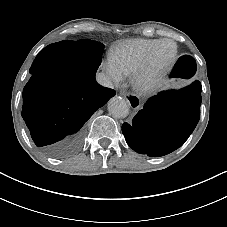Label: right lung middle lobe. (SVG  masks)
Returning a JSON list of instances; mask_svg holds the SVG:
<instances>
[{"instance_id": "1", "label": "right lung middle lobe", "mask_w": 227, "mask_h": 227, "mask_svg": "<svg viewBox=\"0 0 227 227\" xmlns=\"http://www.w3.org/2000/svg\"><path fill=\"white\" fill-rule=\"evenodd\" d=\"M104 45L88 39L72 41L69 57L78 66V70L83 72L96 73L101 64ZM41 70L30 68L31 74H36Z\"/></svg>"}]
</instances>
